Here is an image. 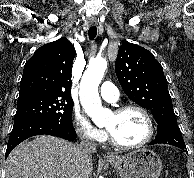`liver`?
<instances>
[{
	"mask_svg": "<svg viewBox=\"0 0 194 178\" xmlns=\"http://www.w3.org/2000/svg\"><path fill=\"white\" fill-rule=\"evenodd\" d=\"M92 158L64 139L41 135L18 145L8 156L5 178H89Z\"/></svg>",
	"mask_w": 194,
	"mask_h": 178,
	"instance_id": "liver-1",
	"label": "liver"
}]
</instances>
